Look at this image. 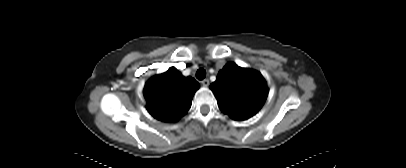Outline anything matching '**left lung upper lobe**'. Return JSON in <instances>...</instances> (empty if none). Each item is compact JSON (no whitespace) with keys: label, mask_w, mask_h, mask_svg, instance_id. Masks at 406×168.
Segmentation results:
<instances>
[{"label":"left lung upper lobe","mask_w":406,"mask_h":168,"mask_svg":"<svg viewBox=\"0 0 406 168\" xmlns=\"http://www.w3.org/2000/svg\"><path fill=\"white\" fill-rule=\"evenodd\" d=\"M220 110L234 120H245L263 106L268 88L263 76L255 70L227 63L210 85Z\"/></svg>","instance_id":"1"}]
</instances>
